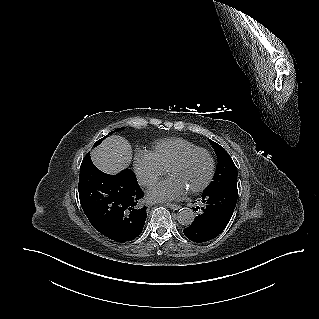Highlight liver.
I'll return each mask as SVG.
<instances>
[{
    "label": "liver",
    "mask_w": 319,
    "mask_h": 319,
    "mask_svg": "<svg viewBox=\"0 0 319 319\" xmlns=\"http://www.w3.org/2000/svg\"><path fill=\"white\" fill-rule=\"evenodd\" d=\"M91 158L101 171L117 174L131 163L132 148L125 138L112 135L91 152Z\"/></svg>",
    "instance_id": "obj_1"
}]
</instances>
